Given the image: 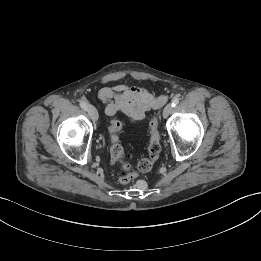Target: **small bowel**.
I'll return each instance as SVG.
<instances>
[{
  "label": "small bowel",
  "instance_id": "obj_1",
  "mask_svg": "<svg viewBox=\"0 0 261 261\" xmlns=\"http://www.w3.org/2000/svg\"><path fill=\"white\" fill-rule=\"evenodd\" d=\"M98 97L105 104L107 115L114 116L117 112H123L134 122L141 121L155 104V99L149 92L126 84L104 87L100 89Z\"/></svg>",
  "mask_w": 261,
  "mask_h": 261
}]
</instances>
